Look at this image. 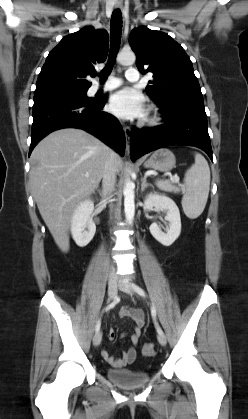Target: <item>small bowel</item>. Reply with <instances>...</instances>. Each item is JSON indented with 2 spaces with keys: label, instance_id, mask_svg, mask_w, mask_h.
I'll list each match as a JSON object with an SVG mask.
<instances>
[{
  "label": "small bowel",
  "instance_id": "obj_1",
  "mask_svg": "<svg viewBox=\"0 0 248 419\" xmlns=\"http://www.w3.org/2000/svg\"><path fill=\"white\" fill-rule=\"evenodd\" d=\"M121 317L131 318L134 322V328L130 335L131 346L124 350L122 357L114 358L108 351H102V356L107 363H109L114 368H122L128 364H131L135 361L137 356V345L141 336L142 328L145 324V314L142 310L133 309L130 307H123L119 311ZM110 340H114L116 333L114 330L110 329L107 334Z\"/></svg>",
  "mask_w": 248,
  "mask_h": 419
}]
</instances>
